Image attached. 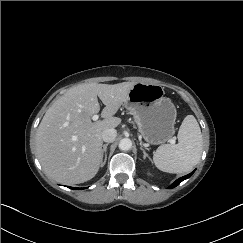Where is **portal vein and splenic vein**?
<instances>
[{
    "label": "portal vein and splenic vein",
    "mask_w": 243,
    "mask_h": 243,
    "mask_svg": "<svg viewBox=\"0 0 243 243\" xmlns=\"http://www.w3.org/2000/svg\"><path fill=\"white\" fill-rule=\"evenodd\" d=\"M98 119H99V115L94 114V115L92 116V120H93V121H97ZM171 143H173V144H174V143H175V140H174V139H172V140H171Z\"/></svg>",
    "instance_id": "18ae733b"
}]
</instances>
